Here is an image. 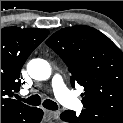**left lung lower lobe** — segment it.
<instances>
[{
    "label": "left lung lower lobe",
    "instance_id": "1",
    "mask_svg": "<svg viewBox=\"0 0 123 123\" xmlns=\"http://www.w3.org/2000/svg\"><path fill=\"white\" fill-rule=\"evenodd\" d=\"M60 117L69 123H123V117L95 108H84L79 116L67 110Z\"/></svg>",
    "mask_w": 123,
    "mask_h": 123
}]
</instances>
